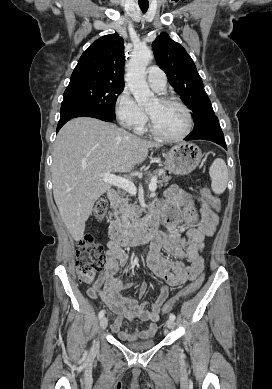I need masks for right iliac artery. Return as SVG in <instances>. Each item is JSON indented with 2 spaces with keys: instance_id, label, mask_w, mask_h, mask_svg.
I'll use <instances>...</instances> for the list:
<instances>
[{
  "instance_id": "right-iliac-artery-1",
  "label": "right iliac artery",
  "mask_w": 272,
  "mask_h": 389,
  "mask_svg": "<svg viewBox=\"0 0 272 389\" xmlns=\"http://www.w3.org/2000/svg\"><path fill=\"white\" fill-rule=\"evenodd\" d=\"M105 314V311L104 310H101L98 314L99 318L101 319Z\"/></svg>"
}]
</instances>
